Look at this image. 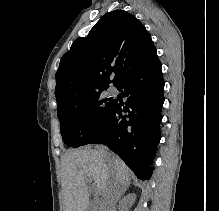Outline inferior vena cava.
<instances>
[{
  "mask_svg": "<svg viewBox=\"0 0 219 211\" xmlns=\"http://www.w3.org/2000/svg\"><path fill=\"white\" fill-rule=\"evenodd\" d=\"M107 189V197L104 198L102 206L104 208H100L99 211H110V207H114L117 199L120 197V193L122 192L120 183H109Z\"/></svg>",
  "mask_w": 219,
  "mask_h": 211,
  "instance_id": "1",
  "label": "inferior vena cava"
}]
</instances>
